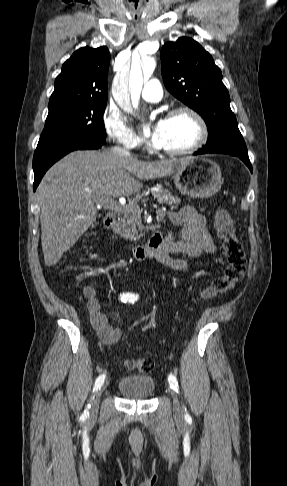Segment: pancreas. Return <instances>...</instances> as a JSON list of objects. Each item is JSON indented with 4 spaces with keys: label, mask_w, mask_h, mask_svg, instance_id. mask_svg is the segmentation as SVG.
I'll return each mask as SVG.
<instances>
[{
    "label": "pancreas",
    "mask_w": 287,
    "mask_h": 486,
    "mask_svg": "<svg viewBox=\"0 0 287 486\" xmlns=\"http://www.w3.org/2000/svg\"><path fill=\"white\" fill-rule=\"evenodd\" d=\"M152 194L159 204H166L176 208L180 203V199L174 197L169 191L154 192ZM146 195L147 192L136 195L133 200H130L127 205L119 210V219L115 231L123 238L136 241L143 235L142 233L138 234L136 229V214L141 212L139 203Z\"/></svg>",
    "instance_id": "obj_1"
}]
</instances>
